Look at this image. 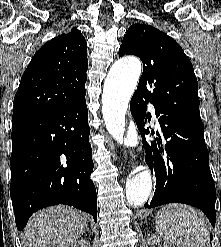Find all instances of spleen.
<instances>
[{
  "mask_svg": "<svg viewBox=\"0 0 221 247\" xmlns=\"http://www.w3.org/2000/svg\"><path fill=\"white\" fill-rule=\"evenodd\" d=\"M156 231L178 247H210L205 219L194 208L183 204L162 207L156 217Z\"/></svg>",
  "mask_w": 221,
  "mask_h": 247,
  "instance_id": "3e777b00",
  "label": "spleen"
}]
</instances>
